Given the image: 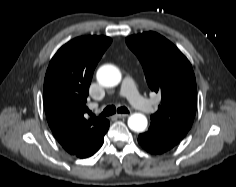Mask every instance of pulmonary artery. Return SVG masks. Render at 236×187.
Masks as SVG:
<instances>
[{
	"mask_svg": "<svg viewBox=\"0 0 236 187\" xmlns=\"http://www.w3.org/2000/svg\"><path fill=\"white\" fill-rule=\"evenodd\" d=\"M121 94L124 96L133 107L145 112H152L153 106L143 99L137 91L135 82L131 76H126L121 87Z\"/></svg>",
	"mask_w": 236,
	"mask_h": 187,
	"instance_id": "e3ab8cb5",
	"label": "pulmonary artery"
}]
</instances>
